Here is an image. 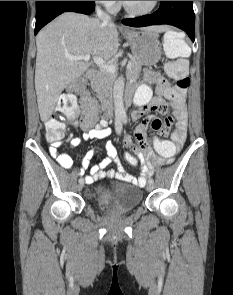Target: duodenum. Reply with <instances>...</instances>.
Returning a JSON list of instances; mask_svg holds the SVG:
<instances>
[{"mask_svg": "<svg viewBox=\"0 0 233 295\" xmlns=\"http://www.w3.org/2000/svg\"><path fill=\"white\" fill-rule=\"evenodd\" d=\"M96 74H97V72H96L95 69H90L87 72V77L89 79H93V78H95ZM126 96H127L128 99H130L133 96V89L131 87L127 88V90H126ZM101 114L105 118H108V117L111 116V108H110V104H109V102H108L107 99H104L102 101Z\"/></svg>", "mask_w": 233, "mask_h": 295, "instance_id": "1", "label": "duodenum"}]
</instances>
